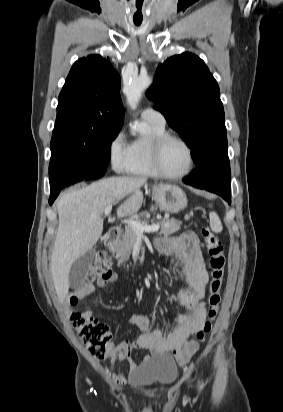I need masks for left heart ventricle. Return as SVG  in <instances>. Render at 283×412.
<instances>
[{
	"instance_id": "1",
	"label": "left heart ventricle",
	"mask_w": 283,
	"mask_h": 412,
	"mask_svg": "<svg viewBox=\"0 0 283 412\" xmlns=\"http://www.w3.org/2000/svg\"><path fill=\"white\" fill-rule=\"evenodd\" d=\"M161 165L163 170L168 173H182L189 165L187 149L178 141L167 142L161 154Z\"/></svg>"
}]
</instances>
